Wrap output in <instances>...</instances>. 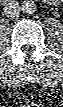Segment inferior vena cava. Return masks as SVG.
Listing matches in <instances>:
<instances>
[{
    "label": "inferior vena cava",
    "instance_id": "obj_1",
    "mask_svg": "<svg viewBox=\"0 0 63 107\" xmlns=\"http://www.w3.org/2000/svg\"><path fill=\"white\" fill-rule=\"evenodd\" d=\"M20 9L19 3L12 0L5 4L4 13L7 17H15L19 15Z\"/></svg>",
    "mask_w": 63,
    "mask_h": 107
}]
</instances>
